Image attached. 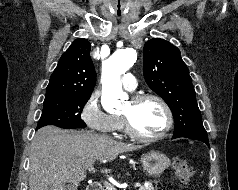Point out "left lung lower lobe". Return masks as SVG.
Masks as SVG:
<instances>
[{"mask_svg": "<svg viewBox=\"0 0 238 190\" xmlns=\"http://www.w3.org/2000/svg\"><path fill=\"white\" fill-rule=\"evenodd\" d=\"M179 137H188V136H186V135H184V134H178V135H174V136H173V139L179 138ZM188 138L193 139V140L202 141V142H204L206 145L209 146V140H208V137H207V136H197V137H188Z\"/></svg>", "mask_w": 238, "mask_h": 190, "instance_id": "0a47b994", "label": "left lung lower lobe"}]
</instances>
